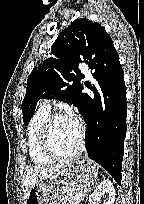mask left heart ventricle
<instances>
[{"instance_id": "1", "label": "left heart ventricle", "mask_w": 144, "mask_h": 204, "mask_svg": "<svg viewBox=\"0 0 144 204\" xmlns=\"http://www.w3.org/2000/svg\"><path fill=\"white\" fill-rule=\"evenodd\" d=\"M79 140V125L70 117L58 119L52 129V145L60 154L73 152Z\"/></svg>"}]
</instances>
